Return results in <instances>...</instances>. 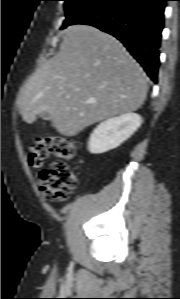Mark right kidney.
Masks as SVG:
<instances>
[{
    "mask_svg": "<svg viewBox=\"0 0 180 299\" xmlns=\"http://www.w3.org/2000/svg\"><path fill=\"white\" fill-rule=\"evenodd\" d=\"M141 123L142 119L136 113H126L101 122L90 135L89 152L101 154L117 148L140 127Z\"/></svg>",
    "mask_w": 180,
    "mask_h": 299,
    "instance_id": "ca27d5eb",
    "label": "right kidney"
}]
</instances>
